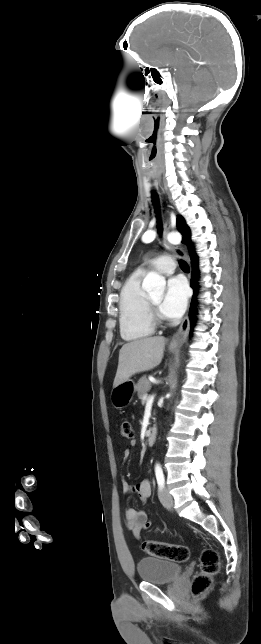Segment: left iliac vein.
Returning <instances> with one entry per match:
<instances>
[{
  "mask_svg": "<svg viewBox=\"0 0 261 644\" xmlns=\"http://www.w3.org/2000/svg\"><path fill=\"white\" fill-rule=\"evenodd\" d=\"M159 499L162 505L167 509H172L174 505V500L169 491L164 488L159 491Z\"/></svg>",
  "mask_w": 261,
  "mask_h": 644,
  "instance_id": "1",
  "label": "left iliac vein"
}]
</instances>
